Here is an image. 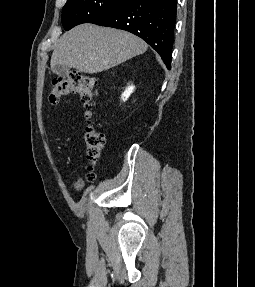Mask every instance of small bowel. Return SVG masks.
<instances>
[{
	"mask_svg": "<svg viewBox=\"0 0 255 287\" xmlns=\"http://www.w3.org/2000/svg\"><path fill=\"white\" fill-rule=\"evenodd\" d=\"M81 187H82V182L81 181L76 182L75 185H74V188L77 189V190H79Z\"/></svg>",
	"mask_w": 255,
	"mask_h": 287,
	"instance_id": "small-bowel-1",
	"label": "small bowel"
}]
</instances>
